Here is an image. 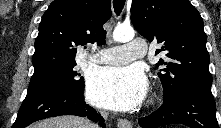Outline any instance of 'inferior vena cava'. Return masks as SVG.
<instances>
[{
  "instance_id": "602c4592",
  "label": "inferior vena cava",
  "mask_w": 221,
  "mask_h": 128,
  "mask_svg": "<svg viewBox=\"0 0 221 128\" xmlns=\"http://www.w3.org/2000/svg\"><path fill=\"white\" fill-rule=\"evenodd\" d=\"M91 128H98L97 125L92 124Z\"/></svg>"
}]
</instances>
